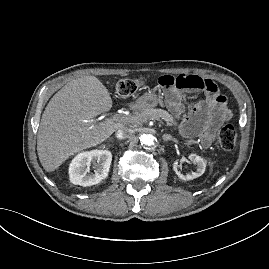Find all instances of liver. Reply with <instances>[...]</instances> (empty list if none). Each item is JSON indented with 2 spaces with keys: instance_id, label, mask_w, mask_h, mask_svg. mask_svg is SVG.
<instances>
[{
  "instance_id": "obj_1",
  "label": "liver",
  "mask_w": 269,
  "mask_h": 269,
  "mask_svg": "<svg viewBox=\"0 0 269 269\" xmlns=\"http://www.w3.org/2000/svg\"><path fill=\"white\" fill-rule=\"evenodd\" d=\"M112 108L107 88L95 76L68 82L46 106L37 134V152L47 172L56 170L70 156L104 142L123 124L91 122Z\"/></svg>"
}]
</instances>
